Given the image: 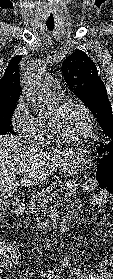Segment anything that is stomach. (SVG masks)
Listing matches in <instances>:
<instances>
[{
    "label": "stomach",
    "instance_id": "0dacf381",
    "mask_svg": "<svg viewBox=\"0 0 113 279\" xmlns=\"http://www.w3.org/2000/svg\"><path fill=\"white\" fill-rule=\"evenodd\" d=\"M93 160L92 153L84 147L72 150L69 158L62 163V171L67 176H74Z\"/></svg>",
    "mask_w": 113,
    "mask_h": 279
}]
</instances>
